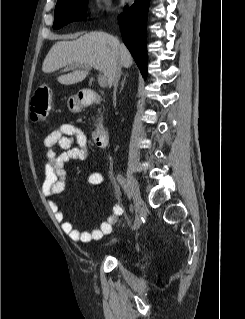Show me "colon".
Instances as JSON below:
<instances>
[{
    "label": "colon",
    "instance_id": "obj_1",
    "mask_svg": "<svg viewBox=\"0 0 245 319\" xmlns=\"http://www.w3.org/2000/svg\"><path fill=\"white\" fill-rule=\"evenodd\" d=\"M51 106V91L47 86H40L31 98V116L34 121H42L47 118Z\"/></svg>",
    "mask_w": 245,
    "mask_h": 319
}]
</instances>
